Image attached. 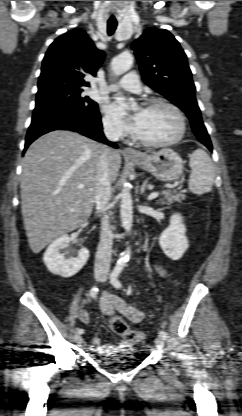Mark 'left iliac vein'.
<instances>
[{
    "label": "left iliac vein",
    "instance_id": "obj_1",
    "mask_svg": "<svg viewBox=\"0 0 242 416\" xmlns=\"http://www.w3.org/2000/svg\"><path fill=\"white\" fill-rule=\"evenodd\" d=\"M107 279L106 273L102 276V278L100 279L102 282H105ZM155 345L157 348H163L165 345V340L162 336H157V338L155 339Z\"/></svg>",
    "mask_w": 242,
    "mask_h": 416
}]
</instances>
